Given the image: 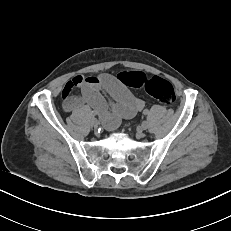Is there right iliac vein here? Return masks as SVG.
Here are the masks:
<instances>
[{
	"label": "right iliac vein",
	"instance_id": "obj_1",
	"mask_svg": "<svg viewBox=\"0 0 231 231\" xmlns=\"http://www.w3.org/2000/svg\"><path fill=\"white\" fill-rule=\"evenodd\" d=\"M92 125H93V127H95V128L98 127L99 122L97 121V119L94 118V119L92 120Z\"/></svg>",
	"mask_w": 231,
	"mask_h": 231
}]
</instances>
